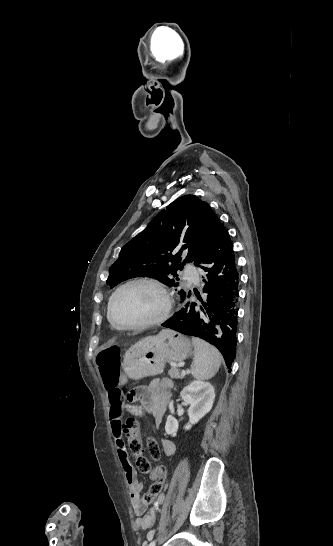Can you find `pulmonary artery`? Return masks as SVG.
<instances>
[{
  "mask_svg": "<svg viewBox=\"0 0 333 546\" xmlns=\"http://www.w3.org/2000/svg\"><path fill=\"white\" fill-rule=\"evenodd\" d=\"M185 277L195 283H198L199 282V276L197 274L196 271L188 268L186 271H185Z\"/></svg>",
  "mask_w": 333,
  "mask_h": 546,
  "instance_id": "pulmonary-artery-1",
  "label": "pulmonary artery"
}]
</instances>
